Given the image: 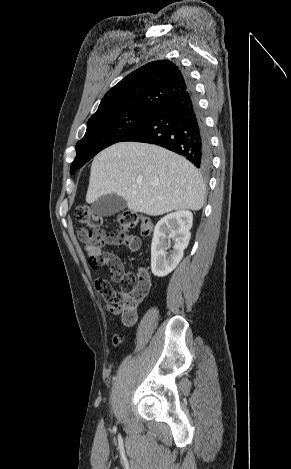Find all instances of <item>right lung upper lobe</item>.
<instances>
[{
  "instance_id": "obj_1",
  "label": "right lung upper lobe",
  "mask_w": 291,
  "mask_h": 469,
  "mask_svg": "<svg viewBox=\"0 0 291 469\" xmlns=\"http://www.w3.org/2000/svg\"><path fill=\"white\" fill-rule=\"evenodd\" d=\"M188 87L186 76L169 60L150 62L129 74L103 97L91 118L125 110H155ZM90 118V119H91Z\"/></svg>"
}]
</instances>
